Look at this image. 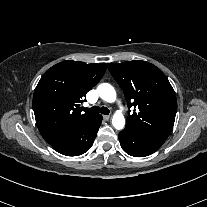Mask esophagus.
<instances>
[{
	"instance_id": "1",
	"label": "esophagus",
	"mask_w": 207,
	"mask_h": 207,
	"mask_svg": "<svg viewBox=\"0 0 207 207\" xmlns=\"http://www.w3.org/2000/svg\"><path fill=\"white\" fill-rule=\"evenodd\" d=\"M103 119H104L105 121H108V120L110 119V116H109V115H103Z\"/></svg>"
}]
</instances>
